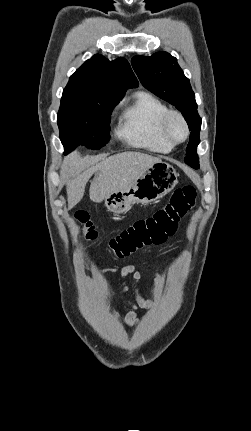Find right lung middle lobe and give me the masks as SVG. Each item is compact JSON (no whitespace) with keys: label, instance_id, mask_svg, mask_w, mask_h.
Returning a JSON list of instances; mask_svg holds the SVG:
<instances>
[{"label":"right lung middle lobe","instance_id":"dd1d6c3e","mask_svg":"<svg viewBox=\"0 0 251 431\" xmlns=\"http://www.w3.org/2000/svg\"><path fill=\"white\" fill-rule=\"evenodd\" d=\"M121 99L65 88L57 119L64 154L80 144L91 149L104 146L109 139L110 114Z\"/></svg>","mask_w":251,"mask_h":431}]
</instances>
